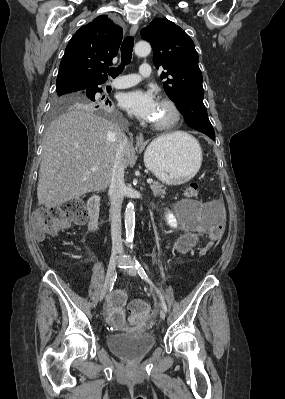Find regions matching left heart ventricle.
<instances>
[{
    "label": "left heart ventricle",
    "mask_w": 285,
    "mask_h": 399,
    "mask_svg": "<svg viewBox=\"0 0 285 399\" xmlns=\"http://www.w3.org/2000/svg\"><path fill=\"white\" fill-rule=\"evenodd\" d=\"M172 117V112L164 104L158 103V109L155 118L153 119L154 123H164L167 122L171 119Z\"/></svg>",
    "instance_id": "left-heart-ventricle-1"
}]
</instances>
